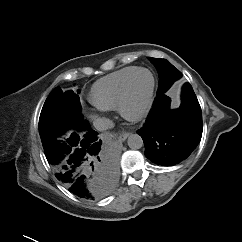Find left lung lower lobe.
I'll list each match as a JSON object with an SVG mask.
<instances>
[{
    "mask_svg": "<svg viewBox=\"0 0 242 242\" xmlns=\"http://www.w3.org/2000/svg\"><path fill=\"white\" fill-rule=\"evenodd\" d=\"M170 98L157 95L144 126L137 131L146 157L157 165L173 166L193 152L202 137V112L189 83L182 89L181 105L170 109Z\"/></svg>",
    "mask_w": 242,
    "mask_h": 242,
    "instance_id": "left-lung-lower-lobe-1",
    "label": "left lung lower lobe"
}]
</instances>
